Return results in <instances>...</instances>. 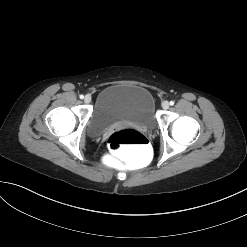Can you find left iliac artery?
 <instances>
[{"mask_svg":"<svg viewBox=\"0 0 247 247\" xmlns=\"http://www.w3.org/2000/svg\"><path fill=\"white\" fill-rule=\"evenodd\" d=\"M170 105H171V106L174 105V101H170Z\"/></svg>","mask_w":247,"mask_h":247,"instance_id":"1","label":"left iliac artery"}]
</instances>
